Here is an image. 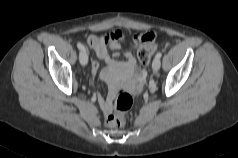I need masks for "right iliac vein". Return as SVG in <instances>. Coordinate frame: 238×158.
<instances>
[{
    "label": "right iliac vein",
    "instance_id": "obj_1",
    "mask_svg": "<svg viewBox=\"0 0 238 158\" xmlns=\"http://www.w3.org/2000/svg\"><path fill=\"white\" fill-rule=\"evenodd\" d=\"M79 61L81 65L85 66L88 63V53L86 50H81L79 53Z\"/></svg>",
    "mask_w": 238,
    "mask_h": 158
}]
</instances>
